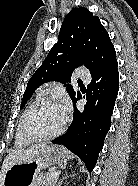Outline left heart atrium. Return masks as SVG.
<instances>
[{
  "mask_svg": "<svg viewBox=\"0 0 138 186\" xmlns=\"http://www.w3.org/2000/svg\"><path fill=\"white\" fill-rule=\"evenodd\" d=\"M62 107H63V109L65 110V112L68 111V105H67V104H64Z\"/></svg>",
  "mask_w": 138,
  "mask_h": 186,
  "instance_id": "39dd6f15",
  "label": "left heart atrium"
}]
</instances>
